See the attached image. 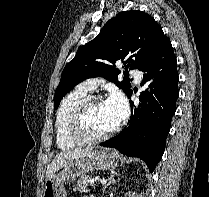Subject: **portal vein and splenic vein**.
Returning <instances> with one entry per match:
<instances>
[{
    "label": "portal vein and splenic vein",
    "instance_id": "18ae733b",
    "mask_svg": "<svg viewBox=\"0 0 209 197\" xmlns=\"http://www.w3.org/2000/svg\"><path fill=\"white\" fill-rule=\"evenodd\" d=\"M107 182V180L106 179H102V180H100V183L101 184H105Z\"/></svg>",
    "mask_w": 209,
    "mask_h": 197
}]
</instances>
